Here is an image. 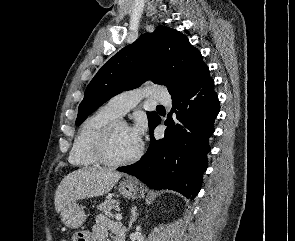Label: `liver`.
Returning <instances> with one entry per match:
<instances>
[{"label":"liver","instance_id":"liver-1","mask_svg":"<svg viewBox=\"0 0 295 241\" xmlns=\"http://www.w3.org/2000/svg\"><path fill=\"white\" fill-rule=\"evenodd\" d=\"M122 174L106 168L86 167L66 175L55 192L56 212L80 199L108 193Z\"/></svg>","mask_w":295,"mask_h":241}]
</instances>
